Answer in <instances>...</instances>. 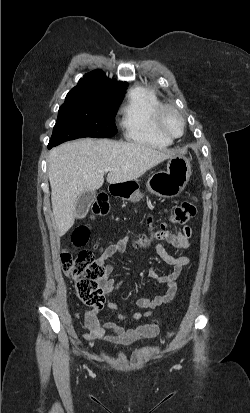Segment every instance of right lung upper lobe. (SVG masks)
I'll list each match as a JSON object with an SVG mask.
<instances>
[{
    "instance_id": "obj_1",
    "label": "right lung upper lobe",
    "mask_w": 250,
    "mask_h": 413,
    "mask_svg": "<svg viewBox=\"0 0 250 413\" xmlns=\"http://www.w3.org/2000/svg\"><path fill=\"white\" fill-rule=\"evenodd\" d=\"M128 83L108 79L102 70L87 73L72 90H85L124 96Z\"/></svg>"
}]
</instances>
